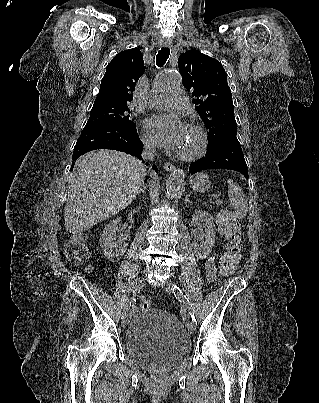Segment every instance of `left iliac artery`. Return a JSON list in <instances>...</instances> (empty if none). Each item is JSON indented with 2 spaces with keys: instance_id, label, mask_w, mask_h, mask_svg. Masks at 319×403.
Here are the masks:
<instances>
[{
  "instance_id": "1",
  "label": "left iliac artery",
  "mask_w": 319,
  "mask_h": 403,
  "mask_svg": "<svg viewBox=\"0 0 319 403\" xmlns=\"http://www.w3.org/2000/svg\"><path fill=\"white\" fill-rule=\"evenodd\" d=\"M173 292L175 297L182 302L183 304H185V306L188 308L189 314L191 316V322L196 326L197 322L194 316V310L192 308V305L190 304L189 300L187 299V297L184 295V293L181 291V289L176 285L173 284ZM189 325V322L187 323V326Z\"/></svg>"
}]
</instances>
